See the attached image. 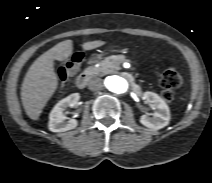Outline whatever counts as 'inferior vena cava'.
Listing matches in <instances>:
<instances>
[{
  "mask_svg": "<svg viewBox=\"0 0 212 183\" xmlns=\"http://www.w3.org/2000/svg\"><path fill=\"white\" fill-rule=\"evenodd\" d=\"M102 80L98 77H94L89 81L88 87L90 90L96 91L102 88Z\"/></svg>",
  "mask_w": 212,
  "mask_h": 183,
  "instance_id": "obj_1",
  "label": "inferior vena cava"
}]
</instances>
